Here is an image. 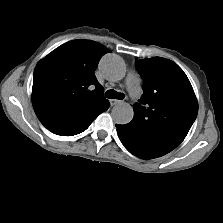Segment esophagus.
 Instances as JSON below:
<instances>
[{"label":"esophagus","mask_w":223,"mask_h":223,"mask_svg":"<svg viewBox=\"0 0 223 223\" xmlns=\"http://www.w3.org/2000/svg\"><path fill=\"white\" fill-rule=\"evenodd\" d=\"M121 101L120 100H117V99H111L110 100V104H111V106H115V105H117V104H119Z\"/></svg>","instance_id":"1"}]
</instances>
